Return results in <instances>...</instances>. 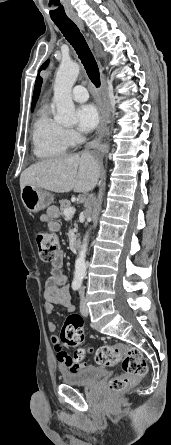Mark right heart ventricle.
Segmentation results:
<instances>
[{"label":"right heart ventricle","mask_w":171,"mask_h":445,"mask_svg":"<svg viewBox=\"0 0 171 445\" xmlns=\"http://www.w3.org/2000/svg\"><path fill=\"white\" fill-rule=\"evenodd\" d=\"M32 140L34 154L39 158L61 156L71 144L66 130L51 117L48 108L40 111L33 126Z\"/></svg>","instance_id":"right-heart-ventricle-1"}]
</instances>
